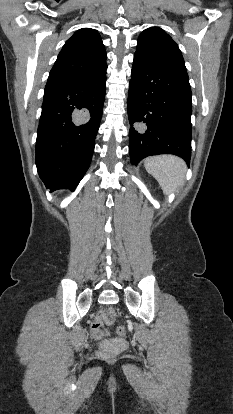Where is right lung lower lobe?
Wrapping results in <instances>:
<instances>
[{"mask_svg": "<svg viewBox=\"0 0 233 414\" xmlns=\"http://www.w3.org/2000/svg\"><path fill=\"white\" fill-rule=\"evenodd\" d=\"M106 69L82 76L48 77L36 165L51 191L75 189L90 165L103 111Z\"/></svg>", "mask_w": 233, "mask_h": 414, "instance_id": "right-lung-lower-lobe-1", "label": "right lung lower lobe"}]
</instances>
